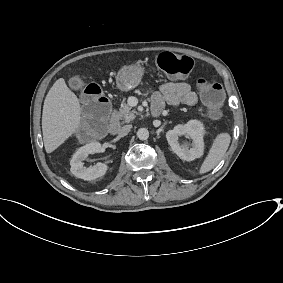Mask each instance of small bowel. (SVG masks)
I'll list each match as a JSON object with an SVG mask.
<instances>
[{
	"instance_id": "1",
	"label": "small bowel",
	"mask_w": 283,
	"mask_h": 283,
	"mask_svg": "<svg viewBox=\"0 0 283 283\" xmlns=\"http://www.w3.org/2000/svg\"><path fill=\"white\" fill-rule=\"evenodd\" d=\"M153 104L162 108L168 104L171 106H193L197 103V94L191 86L185 82H167L160 91L153 94Z\"/></svg>"
}]
</instances>
